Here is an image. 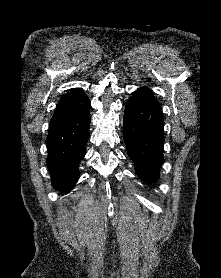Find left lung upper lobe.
Here are the masks:
<instances>
[{
    "label": "left lung upper lobe",
    "mask_w": 221,
    "mask_h": 278,
    "mask_svg": "<svg viewBox=\"0 0 221 278\" xmlns=\"http://www.w3.org/2000/svg\"><path fill=\"white\" fill-rule=\"evenodd\" d=\"M129 100H133L139 103H159L154 97L152 91L147 87H141L136 90Z\"/></svg>",
    "instance_id": "left-lung-upper-lobe-1"
}]
</instances>
